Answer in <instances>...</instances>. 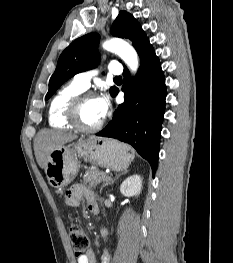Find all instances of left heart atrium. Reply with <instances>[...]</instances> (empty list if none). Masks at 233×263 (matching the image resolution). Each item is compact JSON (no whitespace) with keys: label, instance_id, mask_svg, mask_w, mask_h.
<instances>
[{"label":"left heart atrium","instance_id":"1","mask_svg":"<svg viewBox=\"0 0 233 263\" xmlns=\"http://www.w3.org/2000/svg\"><path fill=\"white\" fill-rule=\"evenodd\" d=\"M98 101V111H99V115L102 118L105 117V115L108 112L109 109V98L107 95H103L99 98H97Z\"/></svg>","mask_w":233,"mask_h":263}]
</instances>
